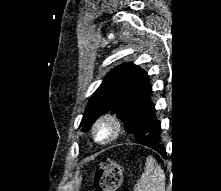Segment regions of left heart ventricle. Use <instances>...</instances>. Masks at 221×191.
Instances as JSON below:
<instances>
[{
	"label": "left heart ventricle",
	"instance_id": "obj_1",
	"mask_svg": "<svg viewBox=\"0 0 221 191\" xmlns=\"http://www.w3.org/2000/svg\"><path fill=\"white\" fill-rule=\"evenodd\" d=\"M106 135H107V130H101L99 133L100 138H104V137H106Z\"/></svg>",
	"mask_w": 221,
	"mask_h": 191
}]
</instances>
